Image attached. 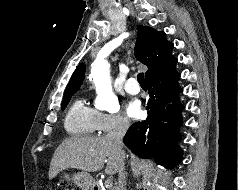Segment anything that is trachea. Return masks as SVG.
<instances>
[{
	"label": "trachea",
	"mask_w": 238,
	"mask_h": 190,
	"mask_svg": "<svg viewBox=\"0 0 238 190\" xmlns=\"http://www.w3.org/2000/svg\"><path fill=\"white\" fill-rule=\"evenodd\" d=\"M137 79H138L139 84H140L142 87L146 86L145 79H144V74H143V73H139L138 76H137Z\"/></svg>",
	"instance_id": "obj_1"
}]
</instances>
